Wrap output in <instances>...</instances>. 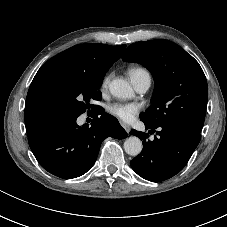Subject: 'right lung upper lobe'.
Here are the masks:
<instances>
[{"mask_svg":"<svg viewBox=\"0 0 227 227\" xmlns=\"http://www.w3.org/2000/svg\"><path fill=\"white\" fill-rule=\"evenodd\" d=\"M125 47L99 43L78 44L45 62L35 75L27 93L24 115L27 135L55 119L46 98L47 84L54 74H105L121 57Z\"/></svg>","mask_w":227,"mask_h":227,"instance_id":"right-lung-upper-lobe-1","label":"right lung upper lobe"}]
</instances>
